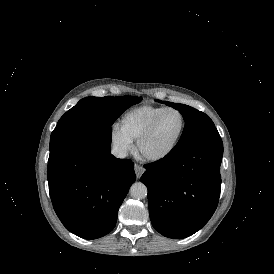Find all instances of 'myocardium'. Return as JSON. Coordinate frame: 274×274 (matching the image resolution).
<instances>
[{"mask_svg":"<svg viewBox=\"0 0 274 274\" xmlns=\"http://www.w3.org/2000/svg\"><path fill=\"white\" fill-rule=\"evenodd\" d=\"M169 111H174L180 114L181 118H182V126L181 129L177 135V137L175 138V140L173 141L172 145L170 146V148L164 152L163 154L159 155V156H148L146 154L143 153L142 151V144L144 142V140L152 133V131L154 130V128L156 127L157 123L159 122V120L161 119V117ZM187 127V118L185 116V113L177 107H165L163 108L149 123L148 125L145 127V129L140 133V135L138 136V138L136 139V154L138 156V158L146 163L149 164H158L161 163L165 160H167L176 150L178 144L180 143L185 130Z\"/></svg>","mask_w":274,"mask_h":274,"instance_id":"1","label":"myocardium"}]
</instances>
